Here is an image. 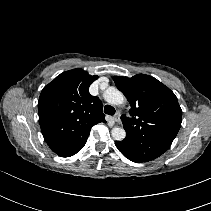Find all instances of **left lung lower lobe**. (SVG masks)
<instances>
[{"label":"left lung lower lobe","instance_id":"left-lung-lower-lobe-1","mask_svg":"<svg viewBox=\"0 0 211 211\" xmlns=\"http://www.w3.org/2000/svg\"><path fill=\"white\" fill-rule=\"evenodd\" d=\"M116 146L119 149V151L129 160H131L133 162H137V163L143 162V161H140V160L136 159L135 157L129 155V153L126 152V150L120 145V143L118 141H116Z\"/></svg>","mask_w":211,"mask_h":211}]
</instances>
